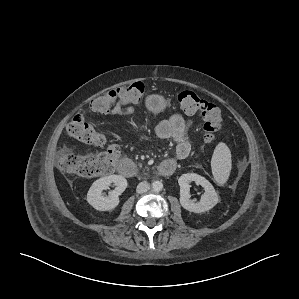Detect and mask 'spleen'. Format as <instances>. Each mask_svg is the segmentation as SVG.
Masks as SVG:
<instances>
[{"label":"spleen","mask_w":299,"mask_h":299,"mask_svg":"<svg viewBox=\"0 0 299 299\" xmlns=\"http://www.w3.org/2000/svg\"><path fill=\"white\" fill-rule=\"evenodd\" d=\"M211 167L215 180L219 184H224L232 167L231 151L225 143L220 142L216 146L211 159Z\"/></svg>","instance_id":"obj_1"}]
</instances>
